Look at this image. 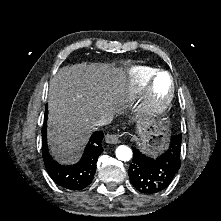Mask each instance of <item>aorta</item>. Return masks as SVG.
I'll return each mask as SVG.
<instances>
[{"label":"aorta","instance_id":"aorta-1","mask_svg":"<svg viewBox=\"0 0 221 221\" xmlns=\"http://www.w3.org/2000/svg\"><path fill=\"white\" fill-rule=\"evenodd\" d=\"M116 157L121 161H129L132 158V150L126 145H120L116 148Z\"/></svg>","mask_w":221,"mask_h":221}]
</instances>
